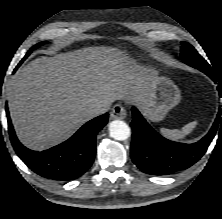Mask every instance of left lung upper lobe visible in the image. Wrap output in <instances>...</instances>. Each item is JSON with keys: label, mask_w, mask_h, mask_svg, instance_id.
I'll list each match as a JSON object with an SVG mask.
<instances>
[{"label": "left lung upper lobe", "mask_w": 222, "mask_h": 219, "mask_svg": "<svg viewBox=\"0 0 222 219\" xmlns=\"http://www.w3.org/2000/svg\"><path fill=\"white\" fill-rule=\"evenodd\" d=\"M181 57L184 63L188 65H195L196 67L209 68V64L206 60L198 54L196 49L189 43L182 42Z\"/></svg>", "instance_id": "left-lung-upper-lobe-1"}]
</instances>
